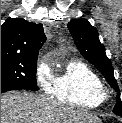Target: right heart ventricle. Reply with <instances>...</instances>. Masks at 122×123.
I'll use <instances>...</instances> for the list:
<instances>
[{
	"label": "right heart ventricle",
	"instance_id": "1",
	"mask_svg": "<svg viewBox=\"0 0 122 123\" xmlns=\"http://www.w3.org/2000/svg\"><path fill=\"white\" fill-rule=\"evenodd\" d=\"M101 84L99 75L89 65L74 60L55 74L51 94L67 105L95 108L102 103L97 93Z\"/></svg>",
	"mask_w": 122,
	"mask_h": 123
}]
</instances>
